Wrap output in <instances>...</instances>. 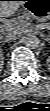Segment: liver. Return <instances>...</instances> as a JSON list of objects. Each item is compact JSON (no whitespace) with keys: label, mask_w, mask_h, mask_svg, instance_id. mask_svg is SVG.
<instances>
[{"label":"liver","mask_w":50,"mask_h":111,"mask_svg":"<svg viewBox=\"0 0 50 111\" xmlns=\"http://www.w3.org/2000/svg\"><path fill=\"white\" fill-rule=\"evenodd\" d=\"M24 4V1L14 0V1H1L0 2V15L1 17H8L13 15L18 8Z\"/></svg>","instance_id":"obj_1"}]
</instances>
